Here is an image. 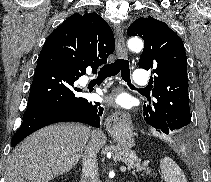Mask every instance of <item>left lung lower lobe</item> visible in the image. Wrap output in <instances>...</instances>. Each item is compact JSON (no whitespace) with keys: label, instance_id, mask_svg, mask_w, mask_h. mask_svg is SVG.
<instances>
[{"label":"left lung lower lobe","instance_id":"obj_1","mask_svg":"<svg viewBox=\"0 0 211 182\" xmlns=\"http://www.w3.org/2000/svg\"><path fill=\"white\" fill-rule=\"evenodd\" d=\"M164 133L178 135L180 137V140L183 143H187V144L189 143V136H188V134L184 135V134H182L181 131L174 130V131L170 132L169 129H167V130L164 131Z\"/></svg>","mask_w":211,"mask_h":182}]
</instances>
